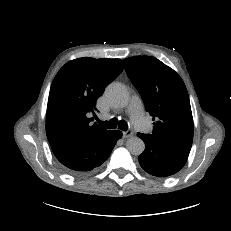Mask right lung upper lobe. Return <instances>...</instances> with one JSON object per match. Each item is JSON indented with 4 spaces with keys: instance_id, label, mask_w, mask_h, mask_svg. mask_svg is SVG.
<instances>
[{
    "instance_id": "obj_1",
    "label": "right lung upper lobe",
    "mask_w": 231,
    "mask_h": 231,
    "mask_svg": "<svg viewBox=\"0 0 231 231\" xmlns=\"http://www.w3.org/2000/svg\"><path fill=\"white\" fill-rule=\"evenodd\" d=\"M123 71L120 59L78 58L55 76L49 93L46 135L50 144L83 140L105 133L92 123L96 101L105 87Z\"/></svg>"
}]
</instances>
